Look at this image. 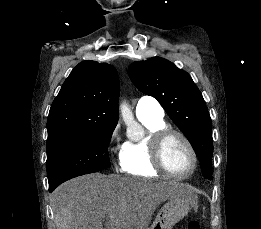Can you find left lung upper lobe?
<instances>
[{
  "mask_svg": "<svg viewBox=\"0 0 261 229\" xmlns=\"http://www.w3.org/2000/svg\"><path fill=\"white\" fill-rule=\"evenodd\" d=\"M128 74L141 92L160 102L191 143L200 160L203 176L212 179V121L202 94L190 75L161 57L132 63Z\"/></svg>",
  "mask_w": 261,
  "mask_h": 229,
  "instance_id": "left-lung-upper-lobe-1",
  "label": "left lung upper lobe"
}]
</instances>
